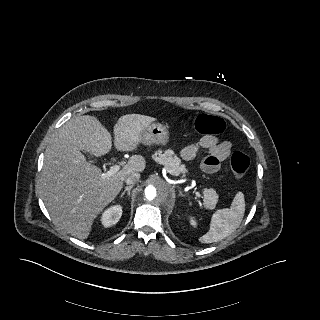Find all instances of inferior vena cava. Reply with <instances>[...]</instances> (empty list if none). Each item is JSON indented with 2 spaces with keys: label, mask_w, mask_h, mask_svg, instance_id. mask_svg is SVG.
<instances>
[{
  "label": "inferior vena cava",
  "mask_w": 320,
  "mask_h": 320,
  "mask_svg": "<svg viewBox=\"0 0 320 320\" xmlns=\"http://www.w3.org/2000/svg\"><path fill=\"white\" fill-rule=\"evenodd\" d=\"M139 178H140V174L133 172L125 178V183L127 185L135 184L136 182L139 181Z\"/></svg>",
  "instance_id": "obj_1"
}]
</instances>
